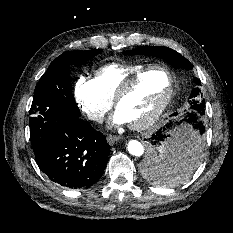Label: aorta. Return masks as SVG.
Segmentation results:
<instances>
[{"instance_id": "1", "label": "aorta", "mask_w": 233, "mask_h": 233, "mask_svg": "<svg viewBox=\"0 0 233 233\" xmlns=\"http://www.w3.org/2000/svg\"><path fill=\"white\" fill-rule=\"evenodd\" d=\"M128 152L133 156H142L144 153V146L137 140H130L128 143Z\"/></svg>"}]
</instances>
